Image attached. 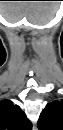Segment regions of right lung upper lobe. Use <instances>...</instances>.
I'll return each instance as SVG.
<instances>
[{
    "mask_svg": "<svg viewBox=\"0 0 63 130\" xmlns=\"http://www.w3.org/2000/svg\"><path fill=\"white\" fill-rule=\"evenodd\" d=\"M0 127L1 130H30V120L18 105L10 100L0 101Z\"/></svg>",
    "mask_w": 63,
    "mask_h": 130,
    "instance_id": "obj_1",
    "label": "right lung upper lobe"
}]
</instances>
